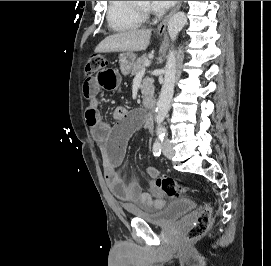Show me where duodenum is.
<instances>
[{"mask_svg": "<svg viewBox=\"0 0 271 266\" xmlns=\"http://www.w3.org/2000/svg\"><path fill=\"white\" fill-rule=\"evenodd\" d=\"M144 103L148 108L154 109L156 106V99L155 97L148 95L144 97Z\"/></svg>", "mask_w": 271, "mask_h": 266, "instance_id": "1", "label": "duodenum"}]
</instances>
